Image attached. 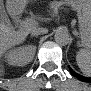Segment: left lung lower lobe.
<instances>
[{"label": "left lung lower lobe", "instance_id": "0a47b994", "mask_svg": "<svg viewBox=\"0 0 91 91\" xmlns=\"http://www.w3.org/2000/svg\"><path fill=\"white\" fill-rule=\"evenodd\" d=\"M69 69H70V72H71V74H72L73 76L78 77L80 80L83 78L81 75L75 73L70 67H69Z\"/></svg>", "mask_w": 91, "mask_h": 91}]
</instances>
